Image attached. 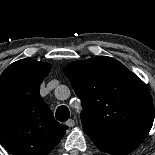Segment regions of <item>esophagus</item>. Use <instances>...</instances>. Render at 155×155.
Returning <instances> with one entry per match:
<instances>
[{"label":"esophagus","mask_w":155,"mask_h":155,"mask_svg":"<svg viewBox=\"0 0 155 155\" xmlns=\"http://www.w3.org/2000/svg\"><path fill=\"white\" fill-rule=\"evenodd\" d=\"M66 125L68 127H73L75 125V121L73 119H69L67 122H66Z\"/></svg>","instance_id":"obj_1"}]
</instances>
